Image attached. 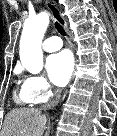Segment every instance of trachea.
Segmentation results:
<instances>
[{
  "instance_id": "obj_1",
  "label": "trachea",
  "mask_w": 117,
  "mask_h": 136,
  "mask_svg": "<svg viewBox=\"0 0 117 136\" xmlns=\"http://www.w3.org/2000/svg\"><path fill=\"white\" fill-rule=\"evenodd\" d=\"M55 28L61 35L66 36V32L60 23L55 22Z\"/></svg>"
}]
</instances>
